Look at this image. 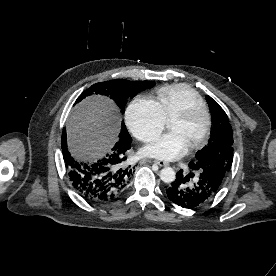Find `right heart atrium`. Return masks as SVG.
I'll return each mask as SVG.
<instances>
[{"label":"right heart atrium","instance_id":"obj_1","mask_svg":"<svg viewBox=\"0 0 276 276\" xmlns=\"http://www.w3.org/2000/svg\"><path fill=\"white\" fill-rule=\"evenodd\" d=\"M126 122L136 138L148 142L164 130L166 119L155 101L137 97L127 108Z\"/></svg>","mask_w":276,"mask_h":276}]
</instances>
